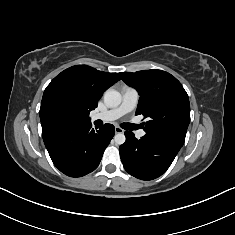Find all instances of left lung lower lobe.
I'll return each instance as SVG.
<instances>
[{
	"label": "left lung lower lobe",
	"mask_w": 235,
	"mask_h": 235,
	"mask_svg": "<svg viewBox=\"0 0 235 235\" xmlns=\"http://www.w3.org/2000/svg\"><path fill=\"white\" fill-rule=\"evenodd\" d=\"M126 141L119 152L125 170L141 180L161 176L171 165L181 145L174 141L145 134L136 139L132 132H125Z\"/></svg>",
	"instance_id": "0a47b994"
}]
</instances>
